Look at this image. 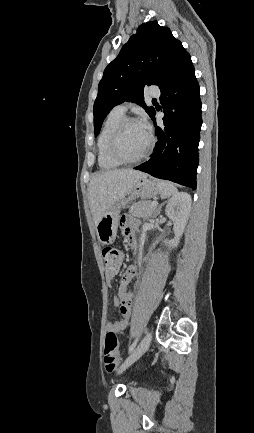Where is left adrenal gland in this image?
<instances>
[{"label":"left adrenal gland","mask_w":254,"mask_h":433,"mask_svg":"<svg viewBox=\"0 0 254 433\" xmlns=\"http://www.w3.org/2000/svg\"><path fill=\"white\" fill-rule=\"evenodd\" d=\"M163 206V203L162 204H160L159 206H158V214L160 213V211H161V207Z\"/></svg>","instance_id":"1"}]
</instances>
